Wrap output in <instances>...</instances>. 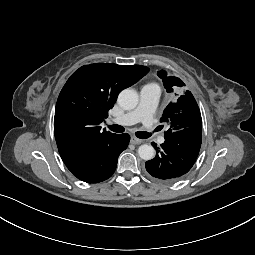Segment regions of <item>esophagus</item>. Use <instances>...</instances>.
I'll return each mask as SVG.
<instances>
[{
  "instance_id": "1",
  "label": "esophagus",
  "mask_w": 255,
  "mask_h": 255,
  "mask_svg": "<svg viewBox=\"0 0 255 255\" xmlns=\"http://www.w3.org/2000/svg\"><path fill=\"white\" fill-rule=\"evenodd\" d=\"M143 141L141 140V139H139V138H137V137H135V136H132L131 137V143L132 144H135V145H137V144H141Z\"/></svg>"
}]
</instances>
